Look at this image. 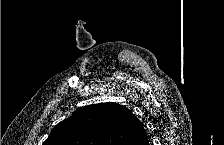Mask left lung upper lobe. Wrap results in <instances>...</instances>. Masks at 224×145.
<instances>
[{
    "mask_svg": "<svg viewBox=\"0 0 224 145\" xmlns=\"http://www.w3.org/2000/svg\"><path fill=\"white\" fill-rule=\"evenodd\" d=\"M143 125L125 106H85L58 123L43 145H136Z\"/></svg>",
    "mask_w": 224,
    "mask_h": 145,
    "instance_id": "left-lung-upper-lobe-1",
    "label": "left lung upper lobe"
}]
</instances>
